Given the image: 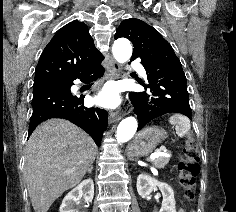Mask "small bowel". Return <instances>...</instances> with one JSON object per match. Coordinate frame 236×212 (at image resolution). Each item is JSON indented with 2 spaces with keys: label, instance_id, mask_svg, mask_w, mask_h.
I'll list each match as a JSON object with an SVG mask.
<instances>
[{
  "label": "small bowel",
  "instance_id": "1",
  "mask_svg": "<svg viewBox=\"0 0 236 212\" xmlns=\"http://www.w3.org/2000/svg\"><path fill=\"white\" fill-rule=\"evenodd\" d=\"M178 212H183V210H182V209H180Z\"/></svg>",
  "mask_w": 236,
  "mask_h": 212
}]
</instances>
